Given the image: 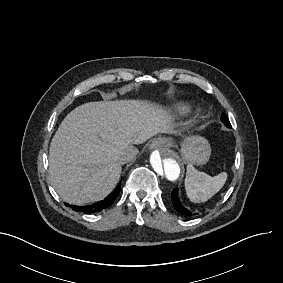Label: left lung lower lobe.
I'll return each mask as SVG.
<instances>
[{"mask_svg": "<svg viewBox=\"0 0 283 283\" xmlns=\"http://www.w3.org/2000/svg\"><path fill=\"white\" fill-rule=\"evenodd\" d=\"M221 121L227 126V127H230L231 128V124L229 122V119L227 117V115L225 113L222 114L221 116ZM171 198H172V203L175 207V209L183 214V215H186V216H191V212L188 211L186 208H184L182 206V204L180 203L179 201V198H178V189L175 188L173 191H172V194H171Z\"/></svg>", "mask_w": 283, "mask_h": 283, "instance_id": "obj_1", "label": "left lung lower lobe"}]
</instances>
